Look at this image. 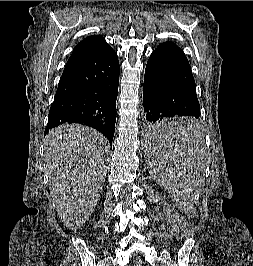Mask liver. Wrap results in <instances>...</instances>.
I'll return each mask as SVG.
<instances>
[{"mask_svg": "<svg viewBox=\"0 0 253 266\" xmlns=\"http://www.w3.org/2000/svg\"><path fill=\"white\" fill-rule=\"evenodd\" d=\"M49 189L64 225L76 231L93 213L103 189L107 139L79 124L49 131L45 141Z\"/></svg>", "mask_w": 253, "mask_h": 266, "instance_id": "1", "label": "liver"}]
</instances>
